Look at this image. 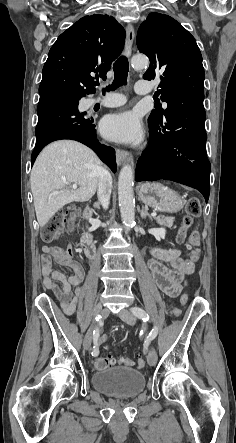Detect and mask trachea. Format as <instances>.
<instances>
[{
  "label": "trachea",
  "instance_id": "3493384b",
  "mask_svg": "<svg viewBox=\"0 0 236 443\" xmlns=\"http://www.w3.org/2000/svg\"><path fill=\"white\" fill-rule=\"evenodd\" d=\"M113 70H114V80L112 82V85H109L106 87V89H103V94H105V91L109 90H115L120 86L127 84V77H128V71H129V63L128 59L125 56L119 57L116 62L113 64ZM95 86H98L99 83H95Z\"/></svg>",
  "mask_w": 236,
  "mask_h": 443
}]
</instances>
